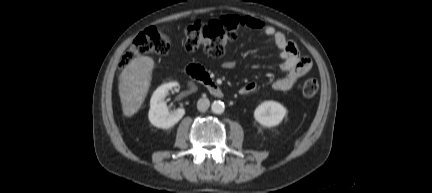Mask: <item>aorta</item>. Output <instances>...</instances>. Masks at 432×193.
Returning a JSON list of instances; mask_svg holds the SVG:
<instances>
[{
  "mask_svg": "<svg viewBox=\"0 0 432 193\" xmlns=\"http://www.w3.org/2000/svg\"><path fill=\"white\" fill-rule=\"evenodd\" d=\"M211 110L215 114H222L225 110V105L222 101H214L211 105Z\"/></svg>",
  "mask_w": 432,
  "mask_h": 193,
  "instance_id": "1",
  "label": "aorta"
}]
</instances>
